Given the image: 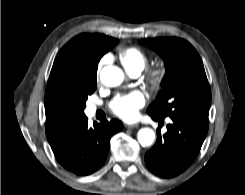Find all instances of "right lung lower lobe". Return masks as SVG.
Masks as SVG:
<instances>
[{
  "label": "right lung lower lobe",
  "instance_id": "right-lung-lower-lobe-1",
  "mask_svg": "<svg viewBox=\"0 0 245 195\" xmlns=\"http://www.w3.org/2000/svg\"><path fill=\"white\" fill-rule=\"evenodd\" d=\"M122 128L123 124L117 119L95 122L93 128H90L87 117H84L65 138L51 145V148L64 168L80 176L89 175L104 163L111 136Z\"/></svg>",
  "mask_w": 245,
  "mask_h": 195
}]
</instances>
